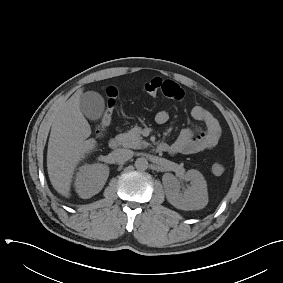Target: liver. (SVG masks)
<instances>
[{
	"label": "liver",
	"instance_id": "obj_1",
	"mask_svg": "<svg viewBox=\"0 0 283 283\" xmlns=\"http://www.w3.org/2000/svg\"><path fill=\"white\" fill-rule=\"evenodd\" d=\"M78 90L54 117L47 150V170L54 189L69 198L74 171L80 160L96 146L91 127L80 109Z\"/></svg>",
	"mask_w": 283,
	"mask_h": 283
}]
</instances>
